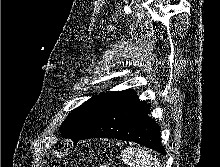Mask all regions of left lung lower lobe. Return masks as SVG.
<instances>
[{
	"mask_svg": "<svg viewBox=\"0 0 220 167\" xmlns=\"http://www.w3.org/2000/svg\"><path fill=\"white\" fill-rule=\"evenodd\" d=\"M149 109L150 106L140 101L133 90L122 91L79 140L114 138L134 141L164 155L160 127L148 116Z\"/></svg>",
	"mask_w": 220,
	"mask_h": 167,
	"instance_id": "0a47b994",
	"label": "left lung lower lobe"
}]
</instances>
